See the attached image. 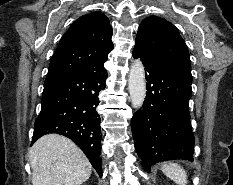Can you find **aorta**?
I'll use <instances>...</instances> for the list:
<instances>
[{
  "mask_svg": "<svg viewBox=\"0 0 233 185\" xmlns=\"http://www.w3.org/2000/svg\"><path fill=\"white\" fill-rule=\"evenodd\" d=\"M128 90L132 105L136 109L141 108L146 97V81L144 67L140 60L134 61L131 65Z\"/></svg>",
  "mask_w": 233,
  "mask_h": 185,
  "instance_id": "aorta-1",
  "label": "aorta"
}]
</instances>
